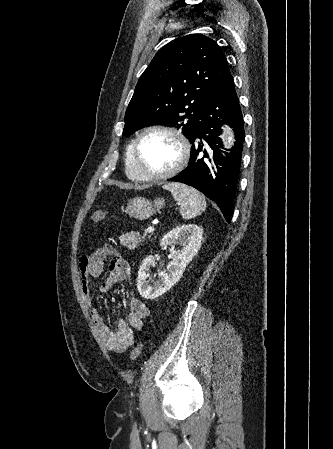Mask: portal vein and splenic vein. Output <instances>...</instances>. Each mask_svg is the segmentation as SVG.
Masks as SVG:
<instances>
[{
    "instance_id": "portal-vein-and-splenic-vein-1",
    "label": "portal vein and splenic vein",
    "mask_w": 333,
    "mask_h": 449,
    "mask_svg": "<svg viewBox=\"0 0 333 449\" xmlns=\"http://www.w3.org/2000/svg\"><path fill=\"white\" fill-rule=\"evenodd\" d=\"M154 231V228L152 227V226H149L147 229H146V233H152Z\"/></svg>"
}]
</instances>
